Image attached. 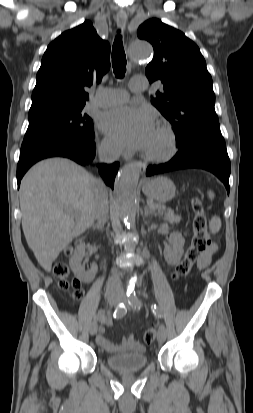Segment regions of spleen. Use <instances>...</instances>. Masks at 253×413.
Listing matches in <instances>:
<instances>
[{"label": "spleen", "mask_w": 253, "mask_h": 413, "mask_svg": "<svg viewBox=\"0 0 253 413\" xmlns=\"http://www.w3.org/2000/svg\"><path fill=\"white\" fill-rule=\"evenodd\" d=\"M208 197L209 199L214 198V193L212 191H208ZM221 228V219L218 216H213L209 222V229L211 233L215 234L217 233Z\"/></svg>", "instance_id": "obj_1"}]
</instances>
